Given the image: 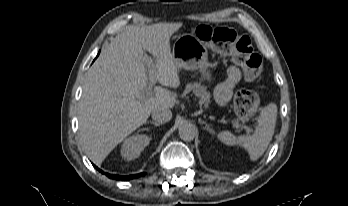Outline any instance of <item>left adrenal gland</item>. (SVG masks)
<instances>
[{
    "mask_svg": "<svg viewBox=\"0 0 348 206\" xmlns=\"http://www.w3.org/2000/svg\"><path fill=\"white\" fill-rule=\"evenodd\" d=\"M198 122L201 124V125H205L204 129L209 131L210 133H214V130L213 128L210 127L209 124H207L205 121L199 119Z\"/></svg>",
    "mask_w": 348,
    "mask_h": 206,
    "instance_id": "obj_1",
    "label": "left adrenal gland"
}]
</instances>
